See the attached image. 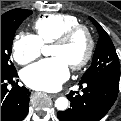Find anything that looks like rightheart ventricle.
Segmentation results:
<instances>
[{"instance_id": "right-heart-ventricle-1", "label": "right heart ventricle", "mask_w": 121, "mask_h": 121, "mask_svg": "<svg viewBox=\"0 0 121 121\" xmlns=\"http://www.w3.org/2000/svg\"><path fill=\"white\" fill-rule=\"evenodd\" d=\"M81 24L80 20L69 14H47L38 18L33 28L36 37L44 44L53 43L69 28Z\"/></svg>"}]
</instances>
